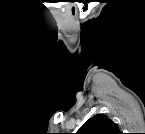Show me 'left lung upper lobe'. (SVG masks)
Listing matches in <instances>:
<instances>
[{"label": "left lung upper lobe", "instance_id": "5c2ea615", "mask_svg": "<svg viewBox=\"0 0 145 134\" xmlns=\"http://www.w3.org/2000/svg\"><path fill=\"white\" fill-rule=\"evenodd\" d=\"M77 134H120L118 126L104 114L88 119Z\"/></svg>", "mask_w": 145, "mask_h": 134}]
</instances>
